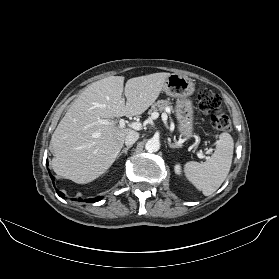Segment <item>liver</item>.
<instances>
[{
    "instance_id": "1",
    "label": "liver",
    "mask_w": 279,
    "mask_h": 279,
    "mask_svg": "<svg viewBox=\"0 0 279 279\" xmlns=\"http://www.w3.org/2000/svg\"><path fill=\"white\" fill-rule=\"evenodd\" d=\"M170 73L129 79L110 76L90 84L59 122L51 138L54 172L78 184L104 174L116 160L130 128H119L115 117L144 113L159 97ZM126 96V104L122 93ZM109 124H100L99 120Z\"/></svg>"
}]
</instances>
